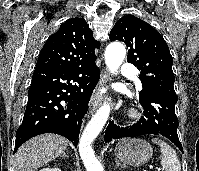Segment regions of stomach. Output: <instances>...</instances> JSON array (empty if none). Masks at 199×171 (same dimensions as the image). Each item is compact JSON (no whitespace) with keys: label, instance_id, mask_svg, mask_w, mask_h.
<instances>
[{"label":"stomach","instance_id":"obj_1","mask_svg":"<svg viewBox=\"0 0 199 171\" xmlns=\"http://www.w3.org/2000/svg\"><path fill=\"white\" fill-rule=\"evenodd\" d=\"M152 154L151 145L140 138L121 139L115 148L116 157L123 163L132 166L145 164L150 160Z\"/></svg>","mask_w":199,"mask_h":171}]
</instances>
